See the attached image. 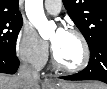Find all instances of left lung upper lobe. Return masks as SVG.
<instances>
[{
  "instance_id": "1",
  "label": "left lung upper lobe",
  "mask_w": 107,
  "mask_h": 89,
  "mask_svg": "<svg viewBox=\"0 0 107 89\" xmlns=\"http://www.w3.org/2000/svg\"><path fill=\"white\" fill-rule=\"evenodd\" d=\"M63 4L89 47L107 38V0H63Z\"/></svg>"
}]
</instances>
